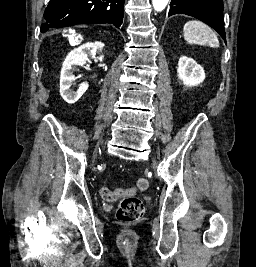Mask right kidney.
<instances>
[{
  "label": "right kidney",
  "mask_w": 256,
  "mask_h": 267,
  "mask_svg": "<svg viewBox=\"0 0 256 267\" xmlns=\"http://www.w3.org/2000/svg\"><path fill=\"white\" fill-rule=\"evenodd\" d=\"M104 44L102 42H87V44H82L79 48H74L66 56V60L63 62L61 76H60V94L67 102V104H75L78 102L79 98L85 94L86 90L89 88V84L84 82L78 88L77 92L70 90L75 76H73V68L75 66H84L88 62L89 58H95L97 54H102Z\"/></svg>",
  "instance_id": "right-kidney-1"
}]
</instances>
